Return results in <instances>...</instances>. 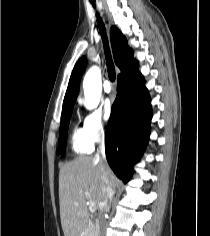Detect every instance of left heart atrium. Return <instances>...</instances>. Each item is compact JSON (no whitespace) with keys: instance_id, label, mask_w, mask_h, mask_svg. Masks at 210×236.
<instances>
[{"instance_id":"left-heart-atrium-1","label":"left heart atrium","mask_w":210,"mask_h":236,"mask_svg":"<svg viewBox=\"0 0 210 236\" xmlns=\"http://www.w3.org/2000/svg\"><path fill=\"white\" fill-rule=\"evenodd\" d=\"M103 114L106 120L112 116V103L109 100L104 103Z\"/></svg>"}]
</instances>
